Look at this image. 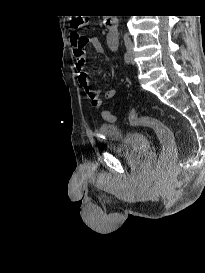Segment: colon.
Returning a JSON list of instances; mask_svg holds the SVG:
<instances>
[{
  "label": "colon",
  "mask_w": 205,
  "mask_h": 273,
  "mask_svg": "<svg viewBox=\"0 0 205 273\" xmlns=\"http://www.w3.org/2000/svg\"><path fill=\"white\" fill-rule=\"evenodd\" d=\"M87 25V20L85 17L76 16L72 21V37L73 39H78L80 37L79 31L82 30ZM107 120H114L112 114H106ZM128 121L133 126L149 127L153 129L161 142L162 151L161 158L158 163V169L160 171H171L176 163L178 156L177 146L175 144V139L173 132L165 124L160 122L158 119L151 116H140L133 109L128 112Z\"/></svg>",
  "instance_id": "obj_1"
}]
</instances>
